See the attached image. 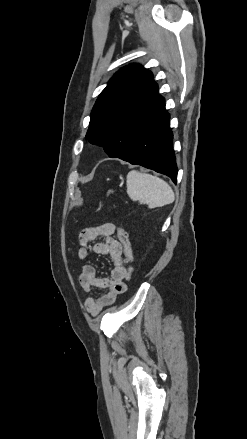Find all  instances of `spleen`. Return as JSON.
I'll list each match as a JSON object with an SVG mask.
<instances>
[{
  "mask_svg": "<svg viewBox=\"0 0 247 439\" xmlns=\"http://www.w3.org/2000/svg\"><path fill=\"white\" fill-rule=\"evenodd\" d=\"M127 194L134 202L148 205L149 209L171 204L175 195L161 178L132 170L127 174Z\"/></svg>",
  "mask_w": 247,
  "mask_h": 439,
  "instance_id": "1",
  "label": "spleen"
}]
</instances>
